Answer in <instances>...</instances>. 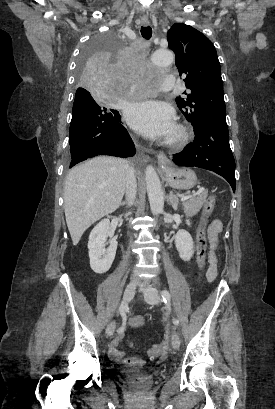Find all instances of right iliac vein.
Here are the masks:
<instances>
[{
  "label": "right iliac vein",
  "instance_id": "obj_1",
  "mask_svg": "<svg viewBox=\"0 0 275 409\" xmlns=\"http://www.w3.org/2000/svg\"><path fill=\"white\" fill-rule=\"evenodd\" d=\"M136 286H137V283H134V282H130L127 285V287H126V289L124 291V295H123V300H124L125 304H127V302L130 301L134 297ZM114 331H115V322H111L107 326L106 334L108 336H112Z\"/></svg>",
  "mask_w": 275,
  "mask_h": 409
}]
</instances>
